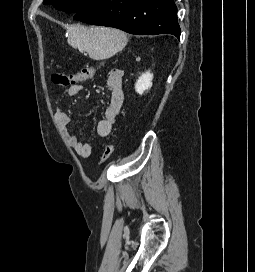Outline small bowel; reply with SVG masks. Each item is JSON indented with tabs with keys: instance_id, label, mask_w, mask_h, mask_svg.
I'll return each mask as SVG.
<instances>
[{
	"instance_id": "obj_1",
	"label": "small bowel",
	"mask_w": 255,
	"mask_h": 272,
	"mask_svg": "<svg viewBox=\"0 0 255 272\" xmlns=\"http://www.w3.org/2000/svg\"><path fill=\"white\" fill-rule=\"evenodd\" d=\"M123 76L124 71L121 68H113L107 73L106 82L110 91V98L104 115L96 126V132L100 137L104 138L109 136L123 105ZM82 89L83 86L80 83L70 85L65 91V96H76ZM55 119L58 127L62 130L65 139L75 153L81 158H88L91 154V145L78 139V137L69 130V125L71 123L69 114L62 108H57Z\"/></svg>"
}]
</instances>
